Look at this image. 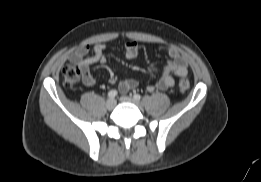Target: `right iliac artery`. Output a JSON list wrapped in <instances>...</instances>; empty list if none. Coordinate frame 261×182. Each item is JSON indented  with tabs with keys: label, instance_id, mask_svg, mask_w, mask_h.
I'll return each mask as SVG.
<instances>
[{
	"label": "right iliac artery",
	"instance_id": "right-iliac-artery-1",
	"mask_svg": "<svg viewBox=\"0 0 261 182\" xmlns=\"http://www.w3.org/2000/svg\"><path fill=\"white\" fill-rule=\"evenodd\" d=\"M118 95V92L115 89H112L108 92V97L109 98H115Z\"/></svg>",
	"mask_w": 261,
	"mask_h": 182
}]
</instances>
